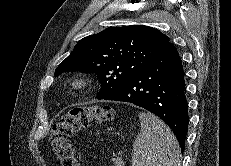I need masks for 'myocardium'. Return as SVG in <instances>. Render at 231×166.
<instances>
[{
    "instance_id": "1",
    "label": "myocardium",
    "mask_w": 231,
    "mask_h": 166,
    "mask_svg": "<svg viewBox=\"0 0 231 166\" xmlns=\"http://www.w3.org/2000/svg\"><path fill=\"white\" fill-rule=\"evenodd\" d=\"M67 87L71 91H85L92 86V80L85 74H75L71 76L67 82Z\"/></svg>"
}]
</instances>
